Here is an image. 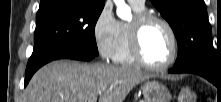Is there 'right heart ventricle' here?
<instances>
[{
    "label": "right heart ventricle",
    "mask_w": 221,
    "mask_h": 102,
    "mask_svg": "<svg viewBox=\"0 0 221 102\" xmlns=\"http://www.w3.org/2000/svg\"><path fill=\"white\" fill-rule=\"evenodd\" d=\"M136 13H143L144 8H139L132 5ZM129 24L126 22H120V38L117 49L113 56V60L122 65H134L136 61L134 60L129 45Z\"/></svg>",
    "instance_id": "obj_1"
}]
</instances>
